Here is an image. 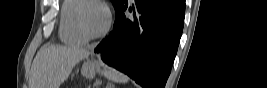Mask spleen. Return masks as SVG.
I'll list each match as a JSON object with an SVG mask.
<instances>
[{"instance_id": "3e777b00", "label": "spleen", "mask_w": 267, "mask_h": 88, "mask_svg": "<svg viewBox=\"0 0 267 88\" xmlns=\"http://www.w3.org/2000/svg\"><path fill=\"white\" fill-rule=\"evenodd\" d=\"M103 75L108 80L116 83H127L129 81V78L126 75L116 70H105L103 71Z\"/></svg>"}]
</instances>
